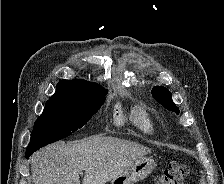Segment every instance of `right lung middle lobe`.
I'll list each match as a JSON object with an SVG mask.
<instances>
[{
	"label": "right lung middle lobe",
	"instance_id": "obj_1",
	"mask_svg": "<svg viewBox=\"0 0 224 184\" xmlns=\"http://www.w3.org/2000/svg\"><path fill=\"white\" fill-rule=\"evenodd\" d=\"M106 94L105 90L78 99H49L34 123L27 150L36 151L82 128L104 103Z\"/></svg>",
	"mask_w": 224,
	"mask_h": 184
}]
</instances>
